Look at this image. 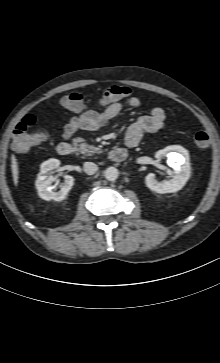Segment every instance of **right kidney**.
Segmentation results:
<instances>
[{"instance_id":"1","label":"right kidney","mask_w":220,"mask_h":363,"mask_svg":"<svg viewBox=\"0 0 220 363\" xmlns=\"http://www.w3.org/2000/svg\"><path fill=\"white\" fill-rule=\"evenodd\" d=\"M59 165L60 161L58 159H49L40 166V173L38 174L35 186L38 190V195L44 200L62 201L74 185V178L67 175L61 189L58 192L52 191L51 183L54 181V177L50 174Z\"/></svg>"}]
</instances>
